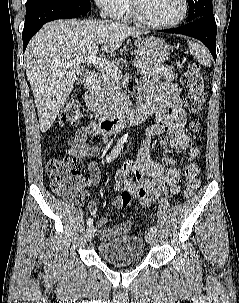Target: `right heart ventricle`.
Segmentation results:
<instances>
[{
	"mask_svg": "<svg viewBox=\"0 0 239 303\" xmlns=\"http://www.w3.org/2000/svg\"><path fill=\"white\" fill-rule=\"evenodd\" d=\"M130 17H131V12H130V9H128L127 13L123 17H121V19H127Z\"/></svg>",
	"mask_w": 239,
	"mask_h": 303,
	"instance_id": "obj_1",
	"label": "right heart ventricle"
}]
</instances>
